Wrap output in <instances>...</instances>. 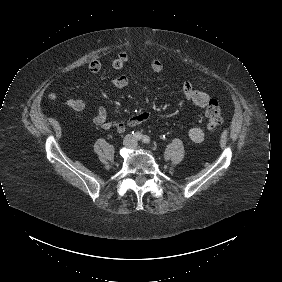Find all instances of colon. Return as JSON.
<instances>
[{
	"instance_id": "5ec220e1",
	"label": "colon",
	"mask_w": 282,
	"mask_h": 282,
	"mask_svg": "<svg viewBox=\"0 0 282 282\" xmlns=\"http://www.w3.org/2000/svg\"><path fill=\"white\" fill-rule=\"evenodd\" d=\"M205 116L207 120V126L211 130L216 129L222 124V109L217 100L211 99L207 102Z\"/></svg>"
}]
</instances>
